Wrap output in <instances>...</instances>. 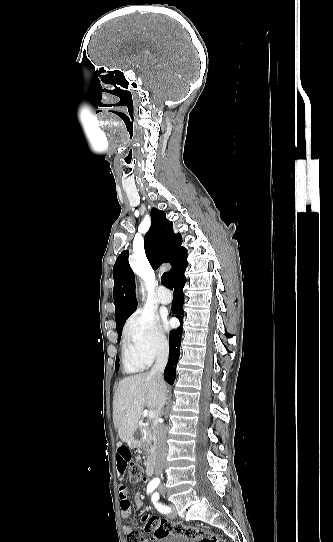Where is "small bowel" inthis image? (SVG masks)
Returning a JSON list of instances; mask_svg holds the SVG:
<instances>
[{
    "mask_svg": "<svg viewBox=\"0 0 333 542\" xmlns=\"http://www.w3.org/2000/svg\"><path fill=\"white\" fill-rule=\"evenodd\" d=\"M130 458H131V454L128 447L121 446L118 449V454H117V479H118L117 488H118L119 507H120L121 515L124 519L129 518L132 511L131 503L128 498V490L124 482L127 463L130 460ZM148 480L149 479L147 477L146 478L144 477L140 482L141 485L147 486ZM134 500L137 506L140 507L142 495L140 493H136L134 496ZM123 531L126 535H129L133 531V527L126 525L124 526Z\"/></svg>",
    "mask_w": 333,
    "mask_h": 542,
    "instance_id": "1",
    "label": "small bowel"
}]
</instances>
